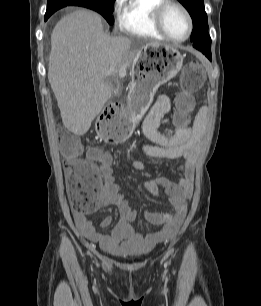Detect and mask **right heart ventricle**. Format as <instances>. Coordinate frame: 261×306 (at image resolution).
Returning <instances> with one entry per match:
<instances>
[{
  "instance_id": "e07e8e85",
  "label": "right heart ventricle",
  "mask_w": 261,
  "mask_h": 306,
  "mask_svg": "<svg viewBox=\"0 0 261 306\" xmlns=\"http://www.w3.org/2000/svg\"><path fill=\"white\" fill-rule=\"evenodd\" d=\"M163 0H124L121 4L120 30L146 38L165 39L153 23V12Z\"/></svg>"
}]
</instances>
